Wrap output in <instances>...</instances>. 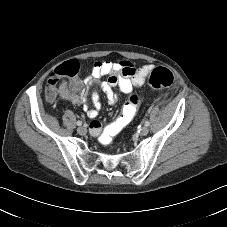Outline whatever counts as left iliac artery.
Listing matches in <instances>:
<instances>
[{"label":"left iliac artery","mask_w":227,"mask_h":227,"mask_svg":"<svg viewBox=\"0 0 227 227\" xmlns=\"http://www.w3.org/2000/svg\"><path fill=\"white\" fill-rule=\"evenodd\" d=\"M150 125V122L149 121H146L145 122V126H149Z\"/></svg>","instance_id":"left-iliac-artery-1"}]
</instances>
